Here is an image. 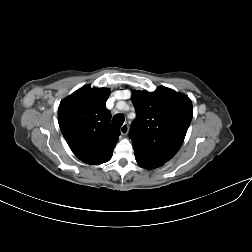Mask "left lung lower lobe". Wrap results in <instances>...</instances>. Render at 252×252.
Returning <instances> with one entry per match:
<instances>
[{
	"label": "left lung lower lobe",
	"mask_w": 252,
	"mask_h": 252,
	"mask_svg": "<svg viewBox=\"0 0 252 252\" xmlns=\"http://www.w3.org/2000/svg\"><path fill=\"white\" fill-rule=\"evenodd\" d=\"M135 159L139 166L146 169L158 168L164 164V162L148 157L140 152H135Z\"/></svg>",
	"instance_id": "1"
}]
</instances>
